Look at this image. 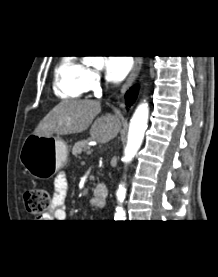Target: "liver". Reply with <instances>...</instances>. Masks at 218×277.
I'll return each instance as SVG.
<instances>
[{
  "label": "liver",
  "mask_w": 218,
  "mask_h": 277,
  "mask_svg": "<svg viewBox=\"0 0 218 277\" xmlns=\"http://www.w3.org/2000/svg\"><path fill=\"white\" fill-rule=\"evenodd\" d=\"M101 104L96 100H63L58 103L38 124L34 135L50 137L53 134L70 135L90 128V136L99 143L115 138L119 126L115 116L108 113L94 118L100 113Z\"/></svg>",
  "instance_id": "1"
}]
</instances>
